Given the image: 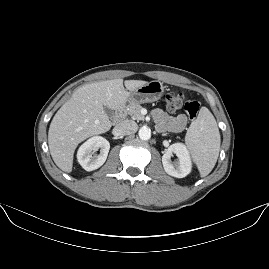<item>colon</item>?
Instances as JSON below:
<instances>
[{"label": "colon", "instance_id": "1", "mask_svg": "<svg viewBox=\"0 0 269 269\" xmlns=\"http://www.w3.org/2000/svg\"><path fill=\"white\" fill-rule=\"evenodd\" d=\"M166 108L169 112L176 113L180 110H184L190 119H195L201 108V104L196 99L184 100L182 93L170 90L166 96Z\"/></svg>", "mask_w": 269, "mask_h": 269}]
</instances>
